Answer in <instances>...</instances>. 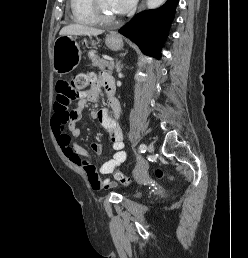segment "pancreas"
I'll return each instance as SVG.
<instances>
[{
  "instance_id": "pancreas-1",
  "label": "pancreas",
  "mask_w": 248,
  "mask_h": 258,
  "mask_svg": "<svg viewBox=\"0 0 248 258\" xmlns=\"http://www.w3.org/2000/svg\"><path fill=\"white\" fill-rule=\"evenodd\" d=\"M88 56L92 62V66H94V67H98L100 69H105V67L113 69V67H114L113 62L109 63L108 61L100 59L98 56H96L94 50L89 51Z\"/></svg>"
}]
</instances>
